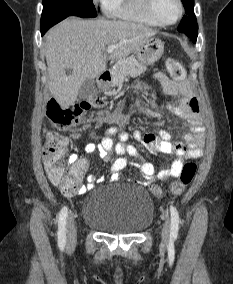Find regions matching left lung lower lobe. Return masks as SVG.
Returning a JSON list of instances; mask_svg holds the SVG:
<instances>
[{
	"label": "left lung lower lobe",
	"instance_id": "left-lung-lower-lobe-1",
	"mask_svg": "<svg viewBox=\"0 0 233 284\" xmlns=\"http://www.w3.org/2000/svg\"><path fill=\"white\" fill-rule=\"evenodd\" d=\"M191 39L193 42H196L197 37H192Z\"/></svg>",
	"mask_w": 233,
	"mask_h": 284
}]
</instances>
